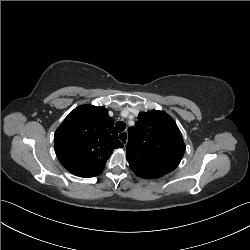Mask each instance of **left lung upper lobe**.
I'll return each mask as SVG.
<instances>
[{
    "label": "left lung upper lobe",
    "mask_w": 250,
    "mask_h": 250,
    "mask_svg": "<svg viewBox=\"0 0 250 250\" xmlns=\"http://www.w3.org/2000/svg\"><path fill=\"white\" fill-rule=\"evenodd\" d=\"M185 144L175 121L158 110L140 112L134 127L129 128L127 160L133 172L141 177L139 164L151 159L152 168L167 174L180 163Z\"/></svg>",
    "instance_id": "left-lung-upper-lobe-1"
}]
</instances>
